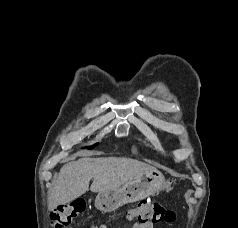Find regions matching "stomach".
<instances>
[{"label": "stomach", "mask_w": 238, "mask_h": 228, "mask_svg": "<svg viewBox=\"0 0 238 228\" xmlns=\"http://www.w3.org/2000/svg\"><path fill=\"white\" fill-rule=\"evenodd\" d=\"M170 185L160 171L153 169L136 176L117 189L99 192L95 206L100 211L112 212L124 204L139 201L164 189L169 190Z\"/></svg>", "instance_id": "obj_1"}]
</instances>
